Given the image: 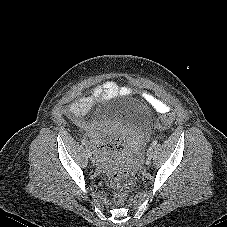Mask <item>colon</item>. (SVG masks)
Segmentation results:
<instances>
[{
  "label": "colon",
  "instance_id": "colon-1",
  "mask_svg": "<svg viewBox=\"0 0 227 227\" xmlns=\"http://www.w3.org/2000/svg\"><path fill=\"white\" fill-rule=\"evenodd\" d=\"M174 118L172 115H165L159 122L158 125L154 127V134L156 136H163L165 134V129L168 128ZM137 171L135 168H130L125 171H119L112 175L110 184L114 190V202L120 204L124 201L130 190L132 189Z\"/></svg>",
  "mask_w": 227,
  "mask_h": 227
}]
</instances>
